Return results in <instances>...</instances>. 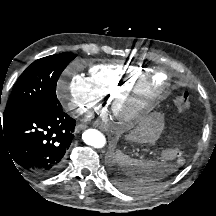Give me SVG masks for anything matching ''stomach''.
Segmentation results:
<instances>
[{"instance_id": "0dacf381", "label": "stomach", "mask_w": 216, "mask_h": 216, "mask_svg": "<svg viewBox=\"0 0 216 216\" xmlns=\"http://www.w3.org/2000/svg\"><path fill=\"white\" fill-rule=\"evenodd\" d=\"M164 128V118L160 112L143 117L137 127L127 136L129 140L142 143H154Z\"/></svg>"}]
</instances>
